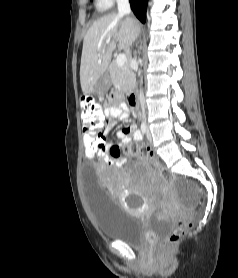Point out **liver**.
Segmentation results:
<instances>
[{"instance_id": "liver-1", "label": "liver", "mask_w": 238, "mask_h": 278, "mask_svg": "<svg viewBox=\"0 0 238 278\" xmlns=\"http://www.w3.org/2000/svg\"><path fill=\"white\" fill-rule=\"evenodd\" d=\"M139 33L140 24L136 19H124L117 13L105 15L91 25L81 55L80 83L84 95L93 92V86L107 71L116 46L128 52Z\"/></svg>"}]
</instances>
